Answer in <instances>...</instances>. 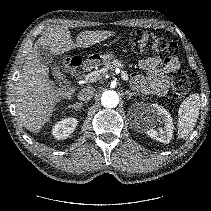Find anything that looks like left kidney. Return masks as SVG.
<instances>
[{
    "mask_svg": "<svg viewBox=\"0 0 211 211\" xmlns=\"http://www.w3.org/2000/svg\"><path fill=\"white\" fill-rule=\"evenodd\" d=\"M149 114L144 118L146 134L159 142L169 143L173 135V121L169 112L158 104L149 105ZM158 123H163L164 128L157 129Z\"/></svg>",
    "mask_w": 211,
    "mask_h": 211,
    "instance_id": "obj_1",
    "label": "left kidney"
}]
</instances>
